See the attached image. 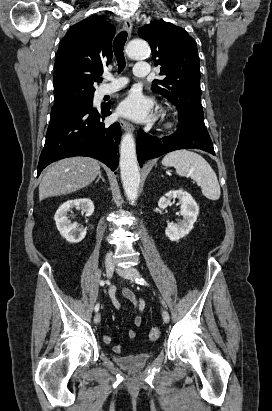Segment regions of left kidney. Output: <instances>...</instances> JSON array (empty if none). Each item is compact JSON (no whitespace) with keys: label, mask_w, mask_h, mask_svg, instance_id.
Wrapping results in <instances>:
<instances>
[{"label":"left kidney","mask_w":272,"mask_h":411,"mask_svg":"<svg viewBox=\"0 0 272 411\" xmlns=\"http://www.w3.org/2000/svg\"><path fill=\"white\" fill-rule=\"evenodd\" d=\"M176 198L179 199L181 204L180 212L183 216V220L178 224L168 223L165 234L171 241H178L188 235L199 214V207L196 201L188 192L181 189L171 190L161 197L158 201L159 208H167L171 203V200Z\"/></svg>","instance_id":"left-kidney-1"}]
</instances>
